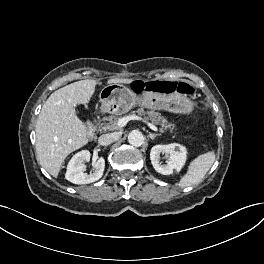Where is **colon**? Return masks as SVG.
I'll return each mask as SVG.
<instances>
[{
	"label": "colon",
	"mask_w": 264,
	"mask_h": 264,
	"mask_svg": "<svg viewBox=\"0 0 264 264\" xmlns=\"http://www.w3.org/2000/svg\"><path fill=\"white\" fill-rule=\"evenodd\" d=\"M133 88L136 92H143L145 90H154L166 94L173 93L176 91L184 94H190L192 92L191 87L185 83H174L168 81L152 83H144L142 81H137L133 84Z\"/></svg>",
	"instance_id": "1"
}]
</instances>
